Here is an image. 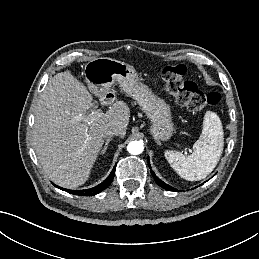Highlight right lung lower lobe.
Instances as JSON below:
<instances>
[{
	"label": "right lung lower lobe",
	"mask_w": 259,
	"mask_h": 259,
	"mask_svg": "<svg viewBox=\"0 0 259 259\" xmlns=\"http://www.w3.org/2000/svg\"><path fill=\"white\" fill-rule=\"evenodd\" d=\"M115 170H116V166L113 168L112 172L110 173V175L107 177V179H105L101 184H99L98 186H95L93 188L90 189H86V190H66L64 188H61L59 186H56L57 188L61 189V190H66L68 193L70 194H74V195H80V196H92V195H96L98 193H100L101 191H103L104 189H106L112 182L114 175H115Z\"/></svg>",
	"instance_id": "98d812e1"
}]
</instances>
